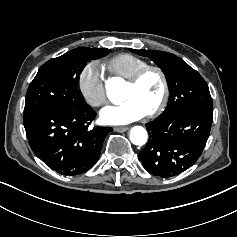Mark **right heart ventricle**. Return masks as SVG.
Here are the masks:
<instances>
[{"label":"right heart ventricle","instance_id":"1","mask_svg":"<svg viewBox=\"0 0 237 237\" xmlns=\"http://www.w3.org/2000/svg\"><path fill=\"white\" fill-rule=\"evenodd\" d=\"M148 63L143 58L129 53H121L113 56L108 62L109 71L115 76L128 79Z\"/></svg>","mask_w":237,"mask_h":237}]
</instances>
